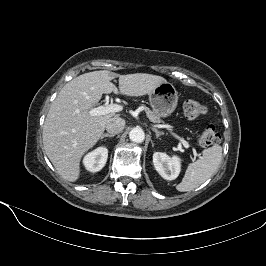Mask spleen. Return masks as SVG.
I'll return each mask as SVG.
<instances>
[{"mask_svg": "<svg viewBox=\"0 0 266 266\" xmlns=\"http://www.w3.org/2000/svg\"><path fill=\"white\" fill-rule=\"evenodd\" d=\"M202 154L200 159L188 165L182 181L176 186L178 191L194 190L218 170L222 160V147L214 145L203 150Z\"/></svg>", "mask_w": 266, "mask_h": 266, "instance_id": "3e777b00", "label": "spleen"}]
</instances>
